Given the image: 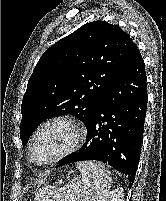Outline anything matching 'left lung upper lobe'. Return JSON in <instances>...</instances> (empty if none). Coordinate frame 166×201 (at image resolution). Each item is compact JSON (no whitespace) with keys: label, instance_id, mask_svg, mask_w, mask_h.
I'll return each instance as SVG.
<instances>
[{"label":"left lung upper lobe","instance_id":"obj_1","mask_svg":"<svg viewBox=\"0 0 166 201\" xmlns=\"http://www.w3.org/2000/svg\"><path fill=\"white\" fill-rule=\"evenodd\" d=\"M137 50L127 33L105 21L87 23L48 48L23 97V144L41 122L54 116L71 114L87 125Z\"/></svg>","mask_w":166,"mask_h":201}]
</instances>
